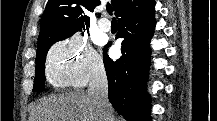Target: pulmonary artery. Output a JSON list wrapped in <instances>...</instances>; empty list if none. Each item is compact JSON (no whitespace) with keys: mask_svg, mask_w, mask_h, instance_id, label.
I'll list each match as a JSON object with an SVG mask.
<instances>
[{"mask_svg":"<svg viewBox=\"0 0 217 121\" xmlns=\"http://www.w3.org/2000/svg\"><path fill=\"white\" fill-rule=\"evenodd\" d=\"M98 27L100 30L108 32L111 30V22L106 18H102L98 21Z\"/></svg>","mask_w":217,"mask_h":121,"instance_id":"pulmonary-artery-1","label":"pulmonary artery"}]
</instances>
